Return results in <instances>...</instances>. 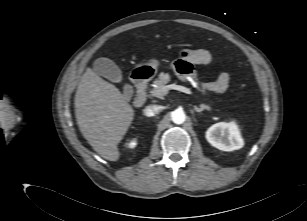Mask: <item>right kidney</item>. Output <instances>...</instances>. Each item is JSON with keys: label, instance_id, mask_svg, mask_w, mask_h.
<instances>
[{"label": "right kidney", "instance_id": "1", "mask_svg": "<svg viewBox=\"0 0 307 221\" xmlns=\"http://www.w3.org/2000/svg\"><path fill=\"white\" fill-rule=\"evenodd\" d=\"M136 145H137V142L135 139L128 143L129 148H134Z\"/></svg>", "mask_w": 307, "mask_h": 221}]
</instances>
